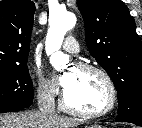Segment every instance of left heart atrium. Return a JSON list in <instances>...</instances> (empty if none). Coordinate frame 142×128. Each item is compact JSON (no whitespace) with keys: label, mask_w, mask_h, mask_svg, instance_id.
<instances>
[{"label":"left heart atrium","mask_w":142,"mask_h":128,"mask_svg":"<svg viewBox=\"0 0 142 128\" xmlns=\"http://www.w3.org/2000/svg\"><path fill=\"white\" fill-rule=\"evenodd\" d=\"M73 82V75L66 73L59 78V84L63 87L64 91L67 90Z\"/></svg>","instance_id":"left-heart-atrium-1"}]
</instances>
